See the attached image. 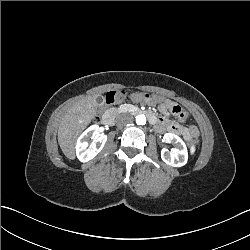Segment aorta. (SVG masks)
Returning a JSON list of instances; mask_svg holds the SVG:
<instances>
[{
    "label": "aorta",
    "mask_w": 250,
    "mask_h": 250,
    "mask_svg": "<svg viewBox=\"0 0 250 250\" xmlns=\"http://www.w3.org/2000/svg\"><path fill=\"white\" fill-rule=\"evenodd\" d=\"M136 123L138 125H145L146 124V116L143 114L136 116Z\"/></svg>",
    "instance_id": "obj_1"
}]
</instances>
